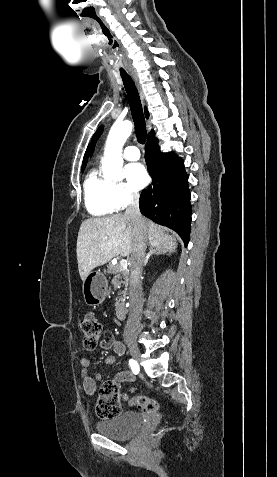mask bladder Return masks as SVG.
Wrapping results in <instances>:
<instances>
[{
  "instance_id": "31cf9c89",
  "label": "bladder",
  "mask_w": 277,
  "mask_h": 477,
  "mask_svg": "<svg viewBox=\"0 0 277 477\" xmlns=\"http://www.w3.org/2000/svg\"><path fill=\"white\" fill-rule=\"evenodd\" d=\"M141 414L135 411H124L116 416L96 422V430L112 439H126L138 432L142 426Z\"/></svg>"
}]
</instances>
